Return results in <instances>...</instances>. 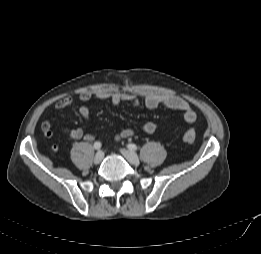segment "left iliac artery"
<instances>
[{
    "instance_id": "obj_1",
    "label": "left iliac artery",
    "mask_w": 261,
    "mask_h": 254,
    "mask_svg": "<svg viewBox=\"0 0 261 254\" xmlns=\"http://www.w3.org/2000/svg\"><path fill=\"white\" fill-rule=\"evenodd\" d=\"M127 147H128L130 150H132V151H136V150H137V146H136L135 144H133V143H129V144L127 145Z\"/></svg>"
}]
</instances>
